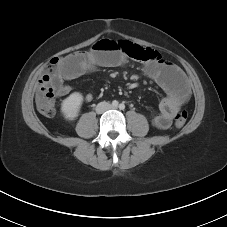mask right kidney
Wrapping results in <instances>:
<instances>
[{"label": "right kidney", "mask_w": 227, "mask_h": 227, "mask_svg": "<svg viewBox=\"0 0 227 227\" xmlns=\"http://www.w3.org/2000/svg\"><path fill=\"white\" fill-rule=\"evenodd\" d=\"M83 96L79 92L70 94L61 104V112L65 119L74 120L80 111Z\"/></svg>", "instance_id": "ca27d5eb"}]
</instances>
